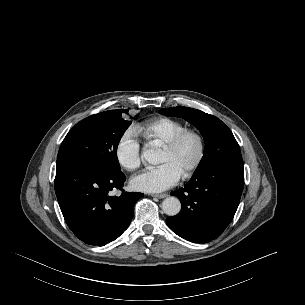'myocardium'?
<instances>
[{
	"instance_id": "f54148a6",
	"label": "myocardium",
	"mask_w": 305,
	"mask_h": 305,
	"mask_svg": "<svg viewBox=\"0 0 305 305\" xmlns=\"http://www.w3.org/2000/svg\"><path fill=\"white\" fill-rule=\"evenodd\" d=\"M187 137H193L195 138L197 145H198V152L197 157L194 163L183 173L184 177H189L192 174H194L202 165L204 159H205V140L202 134L194 129H185L175 135L170 141H168L164 146L163 149L167 151H174L176 150L181 143L187 138Z\"/></svg>"
}]
</instances>
